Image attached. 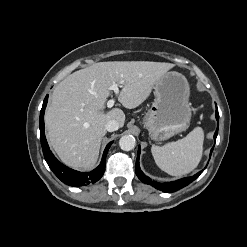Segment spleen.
I'll return each mask as SVG.
<instances>
[{"label": "spleen", "mask_w": 247, "mask_h": 247, "mask_svg": "<svg viewBox=\"0 0 247 247\" xmlns=\"http://www.w3.org/2000/svg\"><path fill=\"white\" fill-rule=\"evenodd\" d=\"M204 132L201 127L194 128L186 137L162 147L151 148L157 166L172 176H181L193 171L199 164L203 153Z\"/></svg>", "instance_id": "1"}]
</instances>
